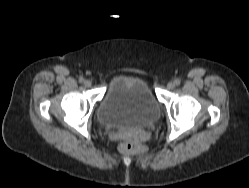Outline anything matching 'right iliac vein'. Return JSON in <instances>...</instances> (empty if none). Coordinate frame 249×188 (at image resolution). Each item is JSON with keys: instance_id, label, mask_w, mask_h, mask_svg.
I'll list each match as a JSON object with an SVG mask.
<instances>
[{"instance_id": "right-iliac-vein-1", "label": "right iliac vein", "mask_w": 249, "mask_h": 188, "mask_svg": "<svg viewBox=\"0 0 249 188\" xmlns=\"http://www.w3.org/2000/svg\"><path fill=\"white\" fill-rule=\"evenodd\" d=\"M84 85H85L86 87H91L92 83H91L90 80H85V81H84Z\"/></svg>"}]
</instances>
